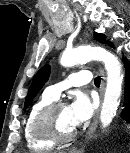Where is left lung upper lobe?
I'll list each match as a JSON object with an SVG mask.
<instances>
[{
    "instance_id": "5c2ea615",
    "label": "left lung upper lobe",
    "mask_w": 130,
    "mask_h": 153,
    "mask_svg": "<svg viewBox=\"0 0 130 153\" xmlns=\"http://www.w3.org/2000/svg\"><path fill=\"white\" fill-rule=\"evenodd\" d=\"M94 38L101 43L105 42V36L103 34H99V33L95 32ZM49 74H50V66L49 65L44 66L43 68H41L38 71V73L36 74V76L33 79V82L30 86L28 95L26 97L25 105H24L25 109L27 108L29 103L33 100V98L37 95V93L42 88L44 83L47 81Z\"/></svg>"
}]
</instances>
